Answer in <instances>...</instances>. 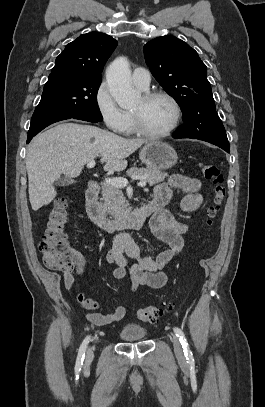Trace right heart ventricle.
Segmentation results:
<instances>
[{
  "label": "right heart ventricle",
  "instance_id": "obj_1",
  "mask_svg": "<svg viewBox=\"0 0 265 407\" xmlns=\"http://www.w3.org/2000/svg\"><path fill=\"white\" fill-rule=\"evenodd\" d=\"M127 115V123L124 128V130L121 132L124 135H132L134 133L133 127H132V118L130 113H126Z\"/></svg>",
  "mask_w": 265,
  "mask_h": 407
}]
</instances>
